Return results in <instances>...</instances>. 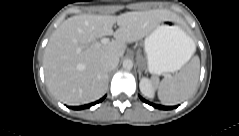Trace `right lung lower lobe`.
Here are the masks:
<instances>
[{
  "mask_svg": "<svg viewBox=\"0 0 239 136\" xmlns=\"http://www.w3.org/2000/svg\"><path fill=\"white\" fill-rule=\"evenodd\" d=\"M104 98H105V96L103 98H101L100 100L94 102V103L87 104V105H84V106L70 107V108L75 109V110L86 109V108H89V107H91V106H93V105L103 101Z\"/></svg>",
  "mask_w": 239,
  "mask_h": 136,
  "instance_id": "right-lung-lower-lobe-1",
  "label": "right lung lower lobe"
}]
</instances>
